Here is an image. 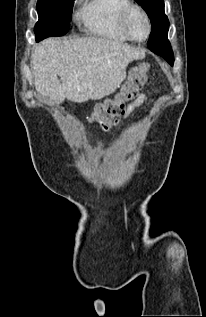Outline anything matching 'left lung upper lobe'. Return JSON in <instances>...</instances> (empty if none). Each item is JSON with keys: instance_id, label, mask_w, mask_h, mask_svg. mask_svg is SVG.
Instances as JSON below:
<instances>
[{"instance_id": "left-lung-upper-lobe-1", "label": "left lung upper lobe", "mask_w": 206, "mask_h": 317, "mask_svg": "<svg viewBox=\"0 0 206 317\" xmlns=\"http://www.w3.org/2000/svg\"><path fill=\"white\" fill-rule=\"evenodd\" d=\"M146 11L151 19L152 32L148 43L168 41L167 33L169 29V21L164 13L163 0H135ZM169 42V41H168ZM147 43V45H148ZM171 65L173 61L167 60Z\"/></svg>"}]
</instances>
